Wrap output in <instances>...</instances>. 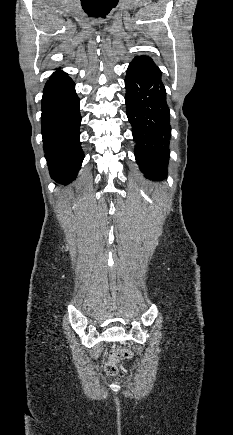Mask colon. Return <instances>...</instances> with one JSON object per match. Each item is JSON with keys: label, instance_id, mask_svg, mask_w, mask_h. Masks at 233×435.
<instances>
[{"label": "colon", "instance_id": "colon-1", "mask_svg": "<svg viewBox=\"0 0 233 435\" xmlns=\"http://www.w3.org/2000/svg\"><path fill=\"white\" fill-rule=\"evenodd\" d=\"M131 356V353L122 347L114 348L110 351L109 363L106 365V371L109 375H115L118 371L116 362L127 359Z\"/></svg>", "mask_w": 233, "mask_h": 435}]
</instances>
